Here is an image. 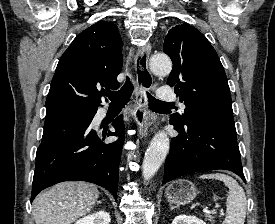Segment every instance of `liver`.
Listing matches in <instances>:
<instances>
[{
	"mask_svg": "<svg viewBox=\"0 0 275 224\" xmlns=\"http://www.w3.org/2000/svg\"><path fill=\"white\" fill-rule=\"evenodd\" d=\"M99 191L93 184L70 181L56 184L40 193L33 201L36 224H72L89 213Z\"/></svg>",
	"mask_w": 275,
	"mask_h": 224,
	"instance_id": "obj_1",
	"label": "liver"
}]
</instances>
